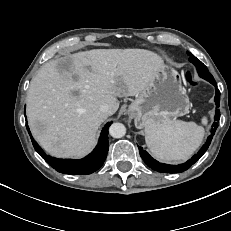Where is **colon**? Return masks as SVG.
<instances>
[{
  "label": "colon",
  "mask_w": 231,
  "mask_h": 231,
  "mask_svg": "<svg viewBox=\"0 0 231 231\" xmlns=\"http://www.w3.org/2000/svg\"><path fill=\"white\" fill-rule=\"evenodd\" d=\"M186 80L192 84V85H196V82H194L193 78H192V75L190 73H187L186 75Z\"/></svg>",
  "instance_id": "1"
}]
</instances>
